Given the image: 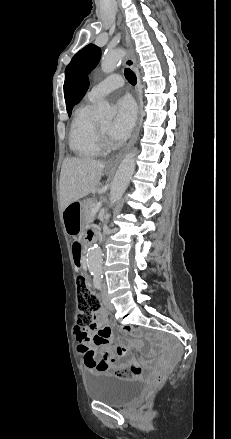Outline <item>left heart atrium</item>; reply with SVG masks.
I'll return each instance as SVG.
<instances>
[{"mask_svg": "<svg viewBox=\"0 0 231 439\" xmlns=\"http://www.w3.org/2000/svg\"><path fill=\"white\" fill-rule=\"evenodd\" d=\"M136 119V110L133 102L123 97L116 103V113L109 129L113 142H122L130 135Z\"/></svg>", "mask_w": 231, "mask_h": 439, "instance_id": "1", "label": "left heart atrium"}]
</instances>
